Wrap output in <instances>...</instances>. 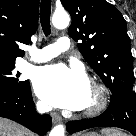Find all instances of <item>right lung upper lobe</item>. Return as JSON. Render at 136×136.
<instances>
[{
    "label": "right lung upper lobe",
    "mask_w": 136,
    "mask_h": 136,
    "mask_svg": "<svg viewBox=\"0 0 136 136\" xmlns=\"http://www.w3.org/2000/svg\"><path fill=\"white\" fill-rule=\"evenodd\" d=\"M39 0H0V64L13 63L38 27Z\"/></svg>",
    "instance_id": "cb5924a9"
}]
</instances>
